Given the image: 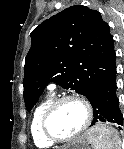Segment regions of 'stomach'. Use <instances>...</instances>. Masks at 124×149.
I'll return each mask as SVG.
<instances>
[{"label":"stomach","mask_w":124,"mask_h":149,"mask_svg":"<svg viewBox=\"0 0 124 149\" xmlns=\"http://www.w3.org/2000/svg\"><path fill=\"white\" fill-rule=\"evenodd\" d=\"M103 125H97L96 127L89 130L85 135H83L79 140L76 142L68 145L64 149H89L87 148L90 142V137L93 136L96 133L97 127H102Z\"/></svg>","instance_id":"stomach-1"}]
</instances>
